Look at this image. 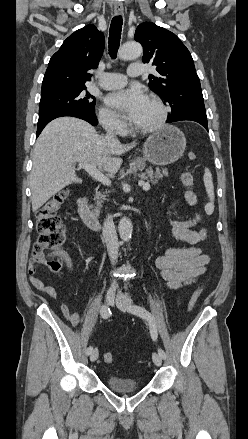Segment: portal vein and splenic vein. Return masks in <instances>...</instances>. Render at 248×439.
<instances>
[{"label":"portal vein and splenic vein","instance_id":"1","mask_svg":"<svg viewBox=\"0 0 248 439\" xmlns=\"http://www.w3.org/2000/svg\"><path fill=\"white\" fill-rule=\"evenodd\" d=\"M79 167L84 169L89 175H91L94 179L98 180L102 184L106 186L111 185V180L101 173L95 164L93 163H79ZM139 185L142 186L143 190L148 191L150 189V184L148 182L144 183L143 181L139 182Z\"/></svg>","mask_w":248,"mask_h":439}]
</instances>
